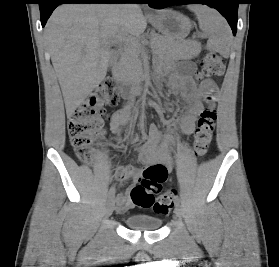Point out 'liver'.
Segmentation results:
<instances>
[{"instance_id": "liver-1", "label": "liver", "mask_w": 279, "mask_h": 267, "mask_svg": "<svg viewBox=\"0 0 279 267\" xmlns=\"http://www.w3.org/2000/svg\"><path fill=\"white\" fill-rule=\"evenodd\" d=\"M140 7L64 4L49 18L45 38L64 97L67 117L104 80L112 55L110 40L127 41L146 29Z\"/></svg>"}]
</instances>
